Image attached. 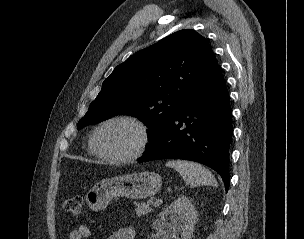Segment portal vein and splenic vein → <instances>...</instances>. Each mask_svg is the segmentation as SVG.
Wrapping results in <instances>:
<instances>
[{"label":"portal vein and splenic vein","instance_id":"1","mask_svg":"<svg viewBox=\"0 0 304 239\" xmlns=\"http://www.w3.org/2000/svg\"><path fill=\"white\" fill-rule=\"evenodd\" d=\"M162 203V199H157L155 202H154V206H158Z\"/></svg>","mask_w":304,"mask_h":239}]
</instances>
